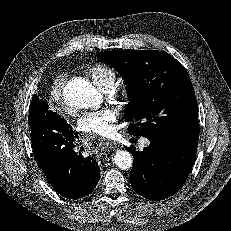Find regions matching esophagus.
<instances>
[{"mask_svg": "<svg viewBox=\"0 0 231 231\" xmlns=\"http://www.w3.org/2000/svg\"><path fill=\"white\" fill-rule=\"evenodd\" d=\"M101 145L105 146V147L113 148V146L115 145V143L113 141H110V140H107V139H103V140H101Z\"/></svg>", "mask_w": 231, "mask_h": 231, "instance_id": "obj_1", "label": "esophagus"}]
</instances>
